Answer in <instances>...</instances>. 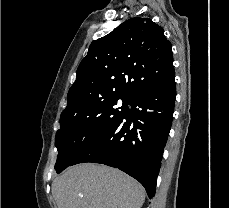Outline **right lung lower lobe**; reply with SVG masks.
I'll use <instances>...</instances> for the list:
<instances>
[{
    "mask_svg": "<svg viewBox=\"0 0 229 208\" xmlns=\"http://www.w3.org/2000/svg\"><path fill=\"white\" fill-rule=\"evenodd\" d=\"M174 78L173 73L132 97V108L88 144L70 166L92 162L119 168L138 180L152 198L173 119Z\"/></svg>",
    "mask_w": 229,
    "mask_h": 208,
    "instance_id": "right-lung-lower-lobe-1",
    "label": "right lung lower lobe"
}]
</instances>
